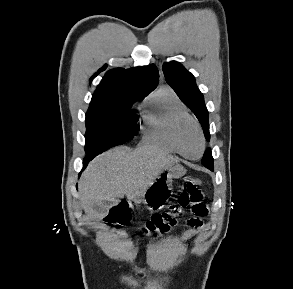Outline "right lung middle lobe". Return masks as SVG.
Wrapping results in <instances>:
<instances>
[{"mask_svg": "<svg viewBox=\"0 0 293 289\" xmlns=\"http://www.w3.org/2000/svg\"><path fill=\"white\" fill-rule=\"evenodd\" d=\"M138 98L125 99L110 104L90 105L86 113L85 151L94 158L99 153L131 140L136 134L139 116L131 113Z\"/></svg>", "mask_w": 293, "mask_h": 289, "instance_id": "dd1d6c3e", "label": "right lung middle lobe"}]
</instances>
